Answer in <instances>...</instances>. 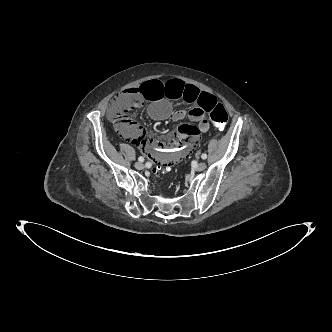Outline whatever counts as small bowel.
I'll return each instance as SVG.
<instances>
[{
	"mask_svg": "<svg viewBox=\"0 0 332 332\" xmlns=\"http://www.w3.org/2000/svg\"><path fill=\"white\" fill-rule=\"evenodd\" d=\"M139 92L142 99L149 103L148 113L152 118H172L175 121L190 119L197 127L181 125L176 133H170L166 137V142L148 135L137 125H134L131 131L122 134L133 140L153 162L159 163L162 167H169L177 160L186 158L197 134H204L209 130L206 112L217 102L216 97L182 80L166 81L162 77L146 79L140 85ZM170 100H182L191 106L188 109L173 111Z\"/></svg>",
	"mask_w": 332,
	"mask_h": 332,
	"instance_id": "c3829d8e",
	"label": "small bowel"
}]
</instances>
